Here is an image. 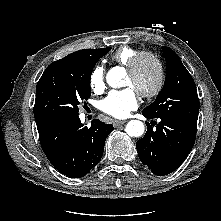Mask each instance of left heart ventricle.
<instances>
[{
	"label": "left heart ventricle",
	"mask_w": 221,
	"mask_h": 221,
	"mask_svg": "<svg viewBox=\"0 0 221 221\" xmlns=\"http://www.w3.org/2000/svg\"><path fill=\"white\" fill-rule=\"evenodd\" d=\"M157 68L149 59H144L135 74L127 73L125 86L132 87L136 92H144L152 89L157 80Z\"/></svg>",
	"instance_id": "1"
}]
</instances>
